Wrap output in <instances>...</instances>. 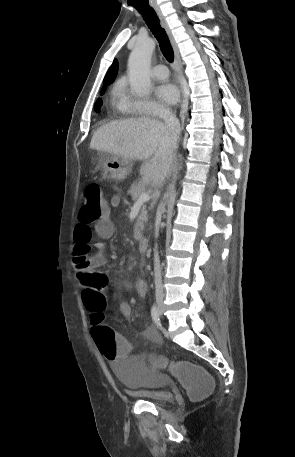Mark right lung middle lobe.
<instances>
[{
  "label": "right lung middle lobe",
  "mask_w": 295,
  "mask_h": 457,
  "mask_svg": "<svg viewBox=\"0 0 295 457\" xmlns=\"http://www.w3.org/2000/svg\"><path fill=\"white\" fill-rule=\"evenodd\" d=\"M104 91H105V87H103L102 92H101V95L104 93ZM101 106H102V100H101V99H98L97 102L95 103L94 108H95V110H96L97 112H100V107H101Z\"/></svg>",
  "instance_id": "dd1d6c3e"
}]
</instances>
